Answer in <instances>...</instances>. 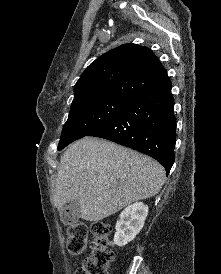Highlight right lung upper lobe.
<instances>
[{
    "instance_id": "right-lung-upper-lobe-1",
    "label": "right lung upper lobe",
    "mask_w": 221,
    "mask_h": 274,
    "mask_svg": "<svg viewBox=\"0 0 221 274\" xmlns=\"http://www.w3.org/2000/svg\"><path fill=\"white\" fill-rule=\"evenodd\" d=\"M167 77L153 52L137 44H124L97 58L74 88V100L99 96L134 99Z\"/></svg>"
}]
</instances>
